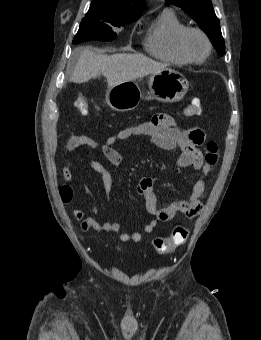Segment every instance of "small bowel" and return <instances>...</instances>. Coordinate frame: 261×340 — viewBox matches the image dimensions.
<instances>
[{
  "label": "small bowel",
  "mask_w": 261,
  "mask_h": 340,
  "mask_svg": "<svg viewBox=\"0 0 261 340\" xmlns=\"http://www.w3.org/2000/svg\"><path fill=\"white\" fill-rule=\"evenodd\" d=\"M132 136L150 137L154 144L161 149L176 154L178 167L191 166L202 173L201 178L194 183L187 200L175 201L163 208L157 206V195L153 180L148 177L140 180L138 192L144 197L147 211L155 216V219L144 226V233L153 232L159 222L170 221L177 213H182L187 218L196 217L203 209L202 200L207 192L205 177L211 170L210 165L197 147L204 141L202 130L198 128L180 129L171 115L162 113L155 115L149 122L127 127L110 135L103 144L86 135H74L69 138L67 149L74 151L81 146L100 149L110 164L118 166L122 161V156L113 146L117 142ZM90 168L101 176L104 192L109 195L113 184L111 173L97 160L90 161ZM63 178L69 184L73 182V175L67 166L63 168ZM72 216L74 220L80 221V229L83 232L92 229L97 232L119 233L122 229L118 222H98L93 217L85 216L84 211L78 207L72 211ZM119 239L124 243H137L141 241L142 234L140 232H123Z\"/></svg>",
  "instance_id": "1"
}]
</instances>
